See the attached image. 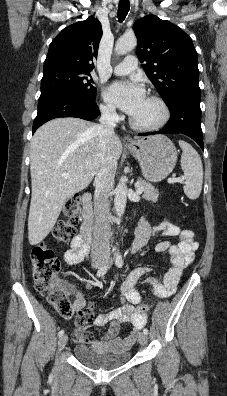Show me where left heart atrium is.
Segmentation results:
<instances>
[{
    "label": "left heart atrium",
    "mask_w": 227,
    "mask_h": 396,
    "mask_svg": "<svg viewBox=\"0 0 227 396\" xmlns=\"http://www.w3.org/2000/svg\"><path fill=\"white\" fill-rule=\"evenodd\" d=\"M104 97L110 104L133 116L146 100L144 87L136 80L115 82L105 90Z\"/></svg>",
    "instance_id": "1"
}]
</instances>
